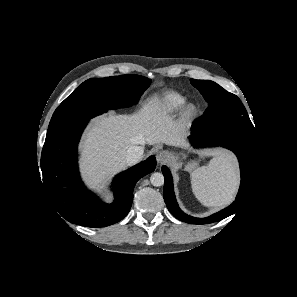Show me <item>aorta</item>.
Returning <instances> with one entry per match:
<instances>
[{
    "mask_svg": "<svg viewBox=\"0 0 297 297\" xmlns=\"http://www.w3.org/2000/svg\"><path fill=\"white\" fill-rule=\"evenodd\" d=\"M151 184L155 187H160L164 184V176L162 173H153L150 177Z\"/></svg>",
    "mask_w": 297,
    "mask_h": 297,
    "instance_id": "762f6f07",
    "label": "aorta"
}]
</instances>
